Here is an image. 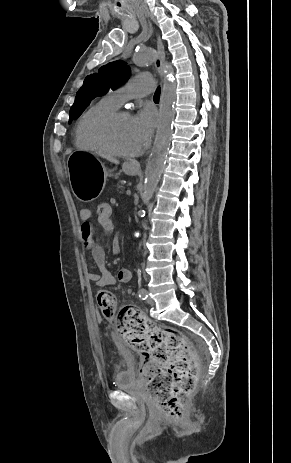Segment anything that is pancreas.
Segmentation results:
<instances>
[{
  "label": "pancreas",
  "mask_w": 291,
  "mask_h": 463,
  "mask_svg": "<svg viewBox=\"0 0 291 463\" xmlns=\"http://www.w3.org/2000/svg\"><path fill=\"white\" fill-rule=\"evenodd\" d=\"M114 191L116 192L117 196L123 194L125 192V187L123 181H119L114 187Z\"/></svg>",
  "instance_id": "obj_1"
}]
</instances>
